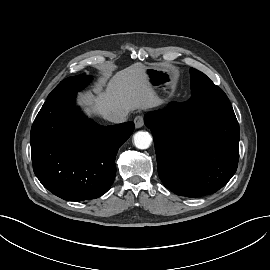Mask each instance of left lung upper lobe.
<instances>
[{"label": "left lung upper lobe", "mask_w": 270, "mask_h": 270, "mask_svg": "<svg viewBox=\"0 0 270 270\" xmlns=\"http://www.w3.org/2000/svg\"><path fill=\"white\" fill-rule=\"evenodd\" d=\"M191 90L196 91L202 107H231L226 94L215 85L205 74L190 68Z\"/></svg>", "instance_id": "left-lung-upper-lobe-1"}]
</instances>
